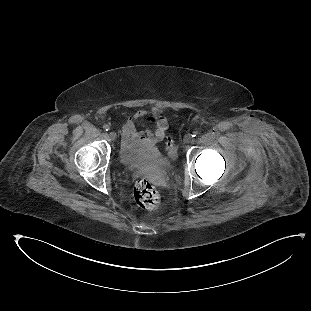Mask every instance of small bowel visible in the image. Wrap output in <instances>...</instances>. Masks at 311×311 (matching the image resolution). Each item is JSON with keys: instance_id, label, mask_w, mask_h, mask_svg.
I'll use <instances>...</instances> for the list:
<instances>
[{"instance_id": "obj_1", "label": "small bowel", "mask_w": 311, "mask_h": 311, "mask_svg": "<svg viewBox=\"0 0 311 311\" xmlns=\"http://www.w3.org/2000/svg\"><path fill=\"white\" fill-rule=\"evenodd\" d=\"M146 119L154 126L153 130L138 132L136 124ZM168 128V120L156 108L138 109L123 124L122 136L123 145L126 149L139 146H154L163 140Z\"/></svg>"}]
</instances>
